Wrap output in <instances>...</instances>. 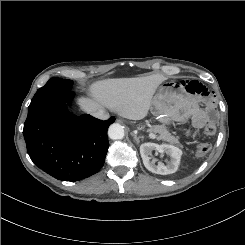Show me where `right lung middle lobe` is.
Returning a JSON list of instances; mask_svg holds the SVG:
<instances>
[{"mask_svg": "<svg viewBox=\"0 0 245 245\" xmlns=\"http://www.w3.org/2000/svg\"><path fill=\"white\" fill-rule=\"evenodd\" d=\"M50 81H68L67 79H62V78H51L48 82ZM69 82H71L73 84V82L70 80Z\"/></svg>", "mask_w": 245, "mask_h": 245, "instance_id": "obj_1", "label": "right lung middle lobe"}]
</instances>
